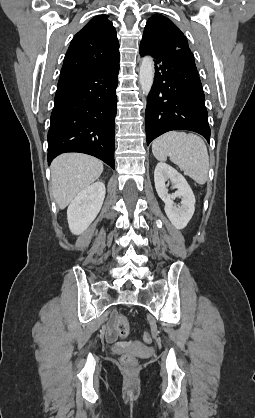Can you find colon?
I'll list each match as a JSON object with an SVG mask.
<instances>
[{
    "label": "colon",
    "mask_w": 255,
    "mask_h": 418,
    "mask_svg": "<svg viewBox=\"0 0 255 418\" xmlns=\"http://www.w3.org/2000/svg\"><path fill=\"white\" fill-rule=\"evenodd\" d=\"M114 327L117 331V333L121 337H126L129 333V325L124 315L122 314H116L114 317ZM143 339L145 342H151L152 341V335L149 332H145L143 334ZM121 363L127 367H134L137 363V359L132 354L126 353L123 354L120 358Z\"/></svg>",
    "instance_id": "1"
}]
</instances>
